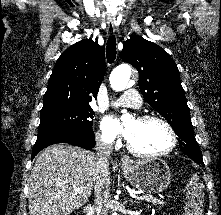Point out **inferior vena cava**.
Masks as SVG:
<instances>
[{
  "label": "inferior vena cava",
  "mask_w": 221,
  "mask_h": 215,
  "mask_svg": "<svg viewBox=\"0 0 221 215\" xmlns=\"http://www.w3.org/2000/svg\"><path fill=\"white\" fill-rule=\"evenodd\" d=\"M113 146L110 143H105L98 139L96 143V156H97V166H96V177L94 182L95 191V204L98 210L97 215H104L101 213L103 204L107 202L110 193V179L108 177L107 169V158L112 153Z\"/></svg>",
  "instance_id": "obj_1"
}]
</instances>
